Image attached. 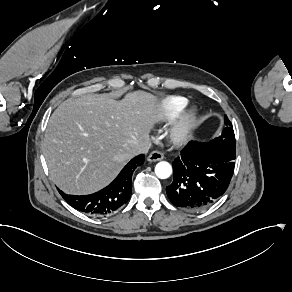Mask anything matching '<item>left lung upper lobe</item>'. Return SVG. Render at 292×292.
Instances as JSON below:
<instances>
[{"label": "left lung upper lobe", "mask_w": 292, "mask_h": 292, "mask_svg": "<svg viewBox=\"0 0 292 292\" xmlns=\"http://www.w3.org/2000/svg\"><path fill=\"white\" fill-rule=\"evenodd\" d=\"M224 121L227 127L224 128L222 135L205 144L225 150L229 153H236L235 135L232 129V124L226 115L224 116Z\"/></svg>", "instance_id": "left-lung-upper-lobe-1"}]
</instances>
